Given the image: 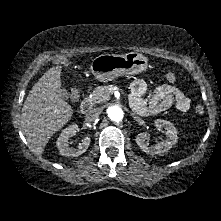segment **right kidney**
<instances>
[{"instance_id": "1", "label": "right kidney", "mask_w": 221, "mask_h": 221, "mask_svg": "<svg viewBox=\"0 0 221 221\" xmlns=\"http://www.w3.org/2000/svg\"><path fill=\"white\" fill-rule=\"evenodd\" d=\"M77 131L78 126L76 124H73L65 128L61 132L56 145L62 156L77 157L86 152V150L88 149L91 141L90 136L84 137L82 139V143H80L77 148H69V138L75 135Z\"/></svg>"}]
</instances>
